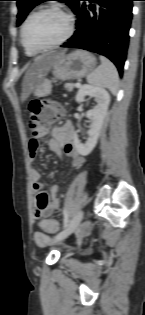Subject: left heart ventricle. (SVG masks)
Wrapping results in <instances>:
<instances>
[{
  "mask_svg": "<svg viewBox=\"0 0 145 315\" xmlns=\"http://www.w3.org/2000/svg\"><path fill=\"white\" fill-rule=\"evenodd\" d=\"M66 31V22L53 12L33 17L26 28V40L33 46H46L60 39Z\"/></svg>",
  "mask_w": 145,
  "mask_h": 315,
  "instance_id": "b2bd125f",
  "label": "left heart ventricle"
}]
</instances>
